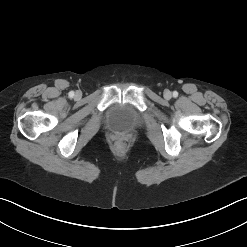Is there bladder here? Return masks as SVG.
Instances as JSON below:
<instances>
[{"mask_svg": "<svg viewBox=\"0 0 247 247\" xmlns=\"http://www.w3.org/2000/svg\"><path fill=\"white\" fill-rule=\"evenodd\" d=\"M141 124V115L128 103L112 104L105 115V125L112 132H130Z\"/></svg>", "mask_w": 247, "mask_h": 247, "instance_id": "1", "label": "bladder"}]
</instances>
